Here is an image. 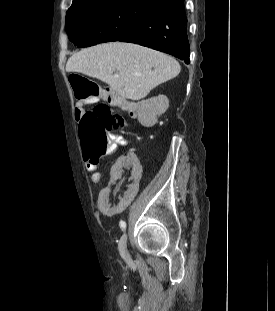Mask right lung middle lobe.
<instances>
[{
    "instance_id": "dd1d6c3e",
    "label": "right lung middle lobe",
    "mask_w": 275,
    "mask_h": 311,
    "mask_svg": "<svg viewBox=\"0 0 275 311\" xmlns=\"http://www.w3.org/2000/svg\"><path fill=\"white\" fill-rule=\"evenodd\" d=\"M159 0H83L67 11L65 28L78 47L115 41Z\"/></svg>"
}]
</instances>
